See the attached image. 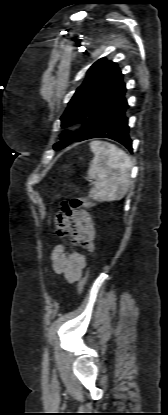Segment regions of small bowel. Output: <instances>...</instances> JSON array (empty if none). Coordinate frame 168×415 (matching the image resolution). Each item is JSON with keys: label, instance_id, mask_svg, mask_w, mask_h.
Here are the masks:
<instances>
[{"label": "small bowel", "instance_id": "c3829d8e", "mask_svg": "<svg viewBox=\"0 0 168 415\" xmlns=\"http://www.w3.org/2000/svg\"><path fill=\"white\" fill-rule=\"evenodd\" d=\"M56 230L59 235L71 236L86 252L94 251L95 228L92 217L81 207H74L73 201H64L62 210H58ZM51 262L56 273L73 283L82 277L87 258L80 251L67 252L64 244L58 243L52 249Z\"/></svg>", "mask_w": 168, "mask_h": 415}]
</instances>
